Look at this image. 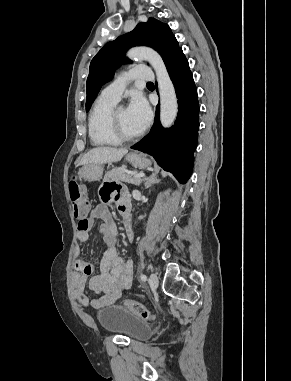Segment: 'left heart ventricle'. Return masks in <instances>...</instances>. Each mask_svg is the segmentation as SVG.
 Here are the masks:
<instances>
[{
	"label": "left heart ventricle",
	"mask_w": 291,
	"mask_h": 381,
	"mask_svg": "<svg viewBox=\"0 0 291 381\" xmlns=\"http://www.w3.org/2000/svg\"><path fill=\"white\" fill-rule=\"evenodd\" d=\"M118 121L122 131L126 135H136L141 131L125 108H121L118 111Z\"/></svg>",
	"instance_id": "b2bd125f"
}]
</instances>
